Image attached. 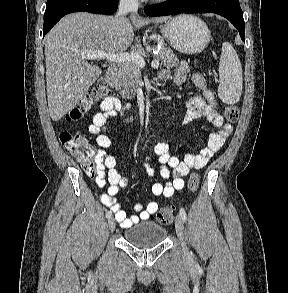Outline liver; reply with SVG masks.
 I'll return each instance as SVG.
<instances>
[{"label":"liver","instance_id":"1","mask_svg":"<svg viewBox=\"0 0 288 293\" xmlns=\"http://www.w3.org/2000/svg\"><path fill=\"white\" fill-rule=\"evenodd\" d=\"M136 15L130 18L78 12L62 18L45 37L47 99L50 116L59 121L86 95L102 74L83 52L123 53L132 44L135 29L150 22Z\"/></svg>","mask_w":288,"mask_h":293}]
</instances>
